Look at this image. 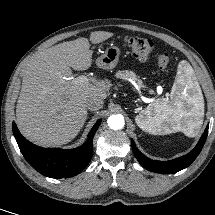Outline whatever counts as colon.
<instances>
[{
	"label": "colon",
	"mask_w": 215,
	"mask_h": 215,
	"mask_svg": "<svg viewBox=\"0 0 215 215\" xmlns=\"http://www.w3.org/2000/svg\"><path fill=\"white\" fill-rule=\"evenodd\" d=\"M125 45L131 54L138 60H145L153 51V42L146 38L129 36L125 38ZM171 60L169 53H162L158 56L157 62L160 68L164 69Z\"/></svg>",
	"instance_id": "1"
}]
</instances>
